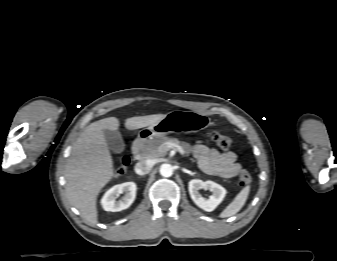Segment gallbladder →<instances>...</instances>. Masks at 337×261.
<instances>
[{"label": "gallbladder", "mask_w": 337, "mask_h": 261, "mask_svg": "<svg viewBox=\"0 0 337 261\" xmlns=\"http://www.w3.org/2000/svg\"><path fill=\"white\" fill-rule=\"evenodd\" d=\"M108 147L115 153H122L125 149V144L121 134L118 131L104 130L103 131Z\"/></svg>", "instance_id": "obj_1"}]
</instances>
